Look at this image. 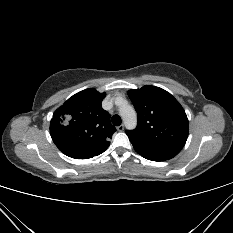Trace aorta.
Returning <instances> with one entry per match:
<instances>
[{"instance_id":"aorta-1","label":"aorta","mask_w":233,"mask_h":233,"mask_svg":"<svg viewBox=\"0 0 233 233\" xmlns=\"http://www.w3.org/2000/svg\"><path fill=\"white\" fill-rule=\"evenodd\" d=\"M116 103H120L119 111L127 129H134L137 124V114L135 109L128 105L125 100L118 98Z\"/></svg>"}]
</instances>
